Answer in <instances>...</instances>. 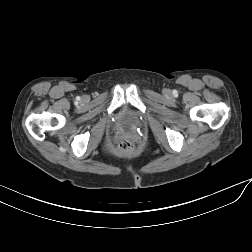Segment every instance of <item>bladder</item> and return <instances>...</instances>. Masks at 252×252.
I'll use <instances>...</instances> for the list:
<instances>
[{
	"instance_id": "1",
	"label": "bladder",
	"mask_w": 252,
	"mask_h": 252,
	"mask_svg": "<svg viewBox=\"0 0 252 252\" xmlns=\"http://www.w3.org/2000/svg\"><path fill=\"white\" fill-rule=\"evenodd\" d=\"M137 121L136 116L133 114L126 112L122 115V122L126 127H131L133 126Z\"/></svg>"
}]
</instances>
